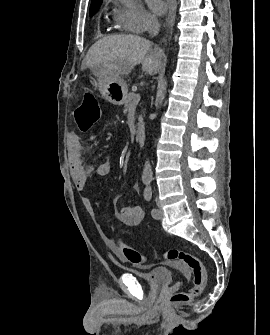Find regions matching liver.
Masks as SVG:
<instances>
[{"label": "liver", "mask_w": 270, "mask_h": 335, "mask_svg": "<svg viewBox=\"0 0 270 335\" xmlns=\"http://www.w3.org/2000/svg\"><path fill=\"white\" fill-rule=\"evenodd\" d=\"M149 50L151 42L140 36H106L88 50L85 66L95 74H106L110 80H122L134 66L142 64V70L152 76L160 62L155 56H146Z\"/></svg>", "instance_id": "6515ba94"}]
</instances>
